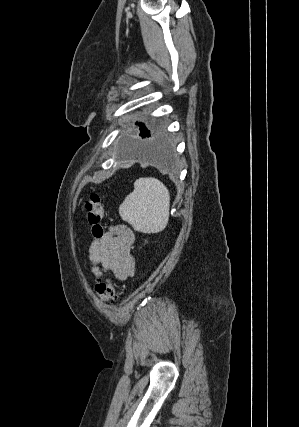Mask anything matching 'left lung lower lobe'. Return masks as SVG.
I'll return each mask as SVG.
<instances>
[{
	"label": "left lung lower lobe",
	"mask_w": 299,
	"mask_h": 427,
	"mask_svg": "<svg viewBox=\"0 0 299 427\" xmlns=\"http://www.w3.org/2000/svg\"><path fill=\"white\" fill-rule=\"evenodd\" d=\"M140 146L138 155L143 160L164 167H172L174 160L170 143L158 130H152Z\"/></svg>",
	"instance_id": "1"
}]
</instances>
